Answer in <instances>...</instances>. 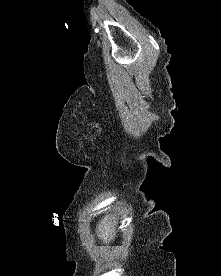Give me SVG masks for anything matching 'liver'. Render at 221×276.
Here are the masks:
<instances>
[{
    "instance_id": "obj_1",
    "label": "liver",
    "mask_w": 221,
    "mask_h": 276,
    "mask_svg": "<svg viewBox=\"0 0 221 276\" xmlns=\"http://www.w3.org/2000/svg\"><path fill=\"white\" fill-rule=\"evenodd\" d=\"M116 226V217L106 216L96 226V234L104 243H109L116 236Z\"/></svg>"
}]
</instances>
